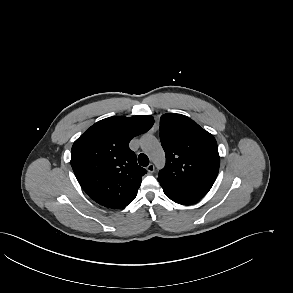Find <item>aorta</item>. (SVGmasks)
<instances>
[{
	"label": "aorta",
	"instance_id": "762f6f07",
	"mask_svg": "<svg viewBox=\"0 0 293 293\" xmlns=\"http://www.w3.org/2000/svg\"><path fill=\"white\" fill-rule=\"evenodd\" d=\"M142 147L155 163L160 164L163 162V151L156 138L153 136L144 137L142 140Z\"/></svg>",
	"mask_w": 293,
	"mask_h": 293
}]
</instances>
